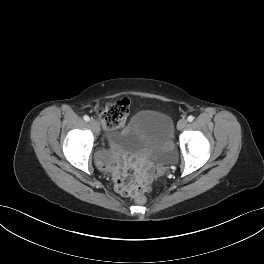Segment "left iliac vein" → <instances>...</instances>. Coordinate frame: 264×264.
I'll list each match as a JSON object with an SVG mask.
<instances>
[{"label":"left iliac vein","mask_w":264,"mask_h":264,"mask_svg":"<svg viewBox=\"0 0 264 264\" xmlns=\"http://www.w3.org/2000/svg\"><path fill=\"white\" fill-rule=\"evenodd\" d=\"M187 125V120L186 119H180L177 123V128L179 130L183 129Z\"/></svg>","instance_id":"left-iliac-vein-1"}]
</instances>
